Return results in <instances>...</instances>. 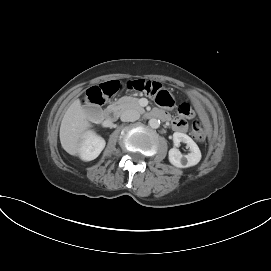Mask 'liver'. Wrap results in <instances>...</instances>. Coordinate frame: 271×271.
<instances>
[{
  "label": "liver",
  "mask_w": 271,
  "mask_h": 271,
  "mask_svg": "<svg viewBox=\"0 0 271 271\" xmlns=\"http://www.w3.org/2000/svg\"><path fill=\"white\" fill-rule=\"evenodd\" d=\"M89 120L79 99H76L64 114L60 126V142L70 155L76 156L80 153L84 138L91 133Z\"/></svg>",
  "instance_id": "obj_1"
}]
</instances>
